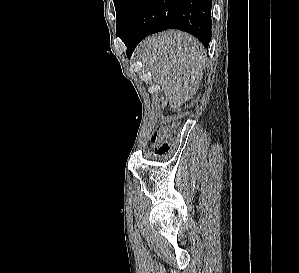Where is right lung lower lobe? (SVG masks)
I'll use <instances>...</instances> for the list:
<instances>
[{
	"instance_id": "1",
	"label": "right lung lower lobe",
	"mask_w": 299,
	"mask_h": 273,
	"mask_svg": "<svg viewBox=\"0 0 299 273\" xmlns=\"http://www.w3.org/2000/svg\"><path fill=\"white\" fill-rule=\"evenodd\" d=\"M211 8L212 0H134L117 36L127 46L128 58L143 38L171 28L192 34L207 48Z\"/></svg>"
}]
</instances>
